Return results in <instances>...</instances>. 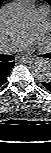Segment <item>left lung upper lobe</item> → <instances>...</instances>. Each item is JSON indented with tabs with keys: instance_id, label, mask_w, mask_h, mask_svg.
I'll use <instances>...</instances> for the list:
<instances>
[{
	"instance_id": "left-lung-upper-lobe-1",
	"label": "left lung upper lobe",
	"mask_w": 51,
	"mask_h": 153,
	"mask_svg": "<svg viewBox=\"0 0 51 153\" xmlns=\"http://www.w3.org/2000/svg\"><path fill=\"white\" fill-rule=\"evenodd\" d=\"M46 2H48L51 5V0H45Z\"/></svg>"
}]
</instances>
